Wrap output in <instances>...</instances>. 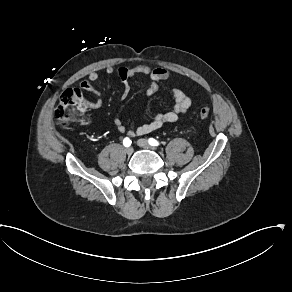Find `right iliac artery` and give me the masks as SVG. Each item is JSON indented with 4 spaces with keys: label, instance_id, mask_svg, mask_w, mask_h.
Returning <instances> with one entry per match:
<instances>
[{
    "label": "right iliac artery",
    "instance_id": "obj_1",
    "mask_svg": "<svg viewBox=\"0 0 292 292\" xmlns=\"http://www.w3.org/2000/svg\"><path fill=\"white\" fill-rule=\"evenodd\" d=\"M123 145H124L125 147H129V146L131 145V140H130L129 137L124 138V140H123Z\"/></svg>",
    "mask_w": 292,
    "mask_h": 292
}]
</instances>
